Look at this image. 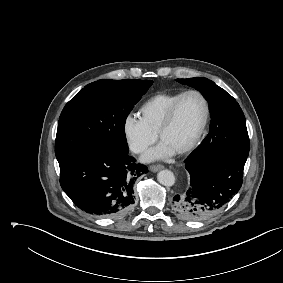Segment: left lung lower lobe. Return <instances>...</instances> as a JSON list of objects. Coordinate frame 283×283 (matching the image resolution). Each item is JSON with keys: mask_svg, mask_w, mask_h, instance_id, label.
<instances>
[{"mask_svg": "<svg viewBox=\"0 0 283 283\" xmlns=\"http://www.w3.org/2000/svg\"><path fill=\"white\" fill-rule=\"evenodd\" d=\"M247 157L214 153L186 159L190 174L186 193L173 198V210L186 220H205L219 212L239 191Z\"/></svg>", "mask_w": 283, "mask_h": 283, "instance_id": "0a47b994", "label": "left lung lower lobe"}]
</instances>
